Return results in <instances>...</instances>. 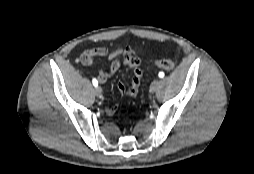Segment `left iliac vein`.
<instances>
[{
  "label": "left iliac vein",
  "instance_id": "obj_1",
  "mask_svg": "<svg viewBox=\"0 0 254 174\" xmlns=\"http://www.w3.org/2000/svg\"><path fill=\"white\" fill-rule=\"evenodd\" d=\"M159 81H153L150 86V91L155 92L159 88Z\"/></svg>",
  "mask_w": 254,
  "mask_h": 174
}]
</instances>
